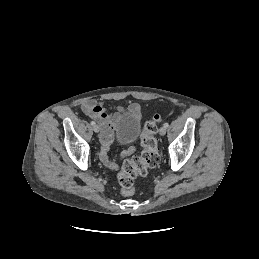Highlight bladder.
I'll use <instances>...</instances> for the list:
<instances>
[{"instance_id":"31cf9c89","label":"bladder","mask_w":259,"mask_h":259,"mask_svg":"<svg viewBox=\"0 0 259 259\" xmlns=\"http://www.w3.org/2000/svg\"><path fill=\"white\" fill-rule=\"evenodd\" d=\"M118 139L122 143L135 141L141 131V120L129 115H121L117 119Z\"/></svg>"}]
</instances>
